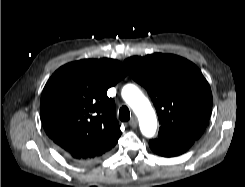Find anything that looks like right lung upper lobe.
<instances>
[{
	"instance_id": "cb5924a9",
	"label": "right lung upper lobe",
	"mask_w": 245,
	"mask_h": 187,
	"mask_svg": "<svg viewBox=\"0 0 245 187\" xmlns=\"http://www.w3.org/2000/svg\"><path fill=\"white\" fill-rule=\"evenodd\" d=\"M127 73L114 59H84L60 67L48 80L40 101L42 124L69 158L91 163L112 151L121 130L107 90Z\"/></svg>"
}]
</instances>
